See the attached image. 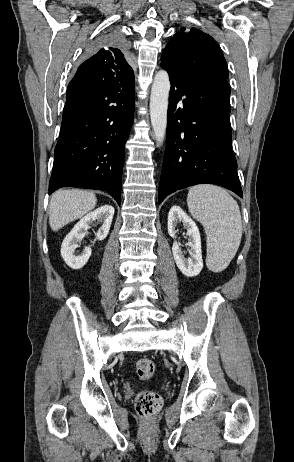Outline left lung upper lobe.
<instances>
[{"mask_svg":"<svg viewBox=\"0 0 294 462\" xmlns=\"http://www.w3.org/2000/svg\"><path fill=\"white\" fill-rule=\"evenodd\" d=\"M161 65L176 77L197 81H226L228 68L221 48L199 29L184 27L165 47Z\"/></svg>","mask_w":294,"mask_h":462,"instance_id":"obj_1","label":"left lung upper lobe"}]
</instances>
